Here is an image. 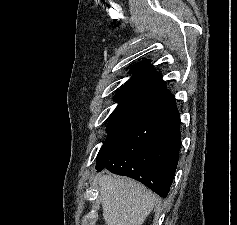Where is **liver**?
<instances>
[{
    "instance_id": "1",
    "label": "liver",
    "mask_w": 237,
    "mask_h": 225,
    "mask_svg": "<svg viewBox=\"0 0 237 225\" xmlns=\"http://www.w3.org/2000/svg\"><path fill=\"white\" fill-rule=\"evenodd\" d=\"M106 225H143L158 197L141 183L126 177L99 178Z\"/></svg>"
}]
</instances>
